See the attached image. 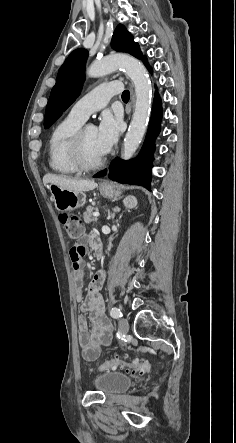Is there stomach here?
<instances>
[{
    "label": "stomach",
    "instance_id": "1",
    "mask_svg": "<svg viewBox=\"0 0 236 443\" xmlns=\"http://www.w3.org/2000/svg\"><path fill=\"white\" fill-rule=\"evenodd\" d=\"M48 189L58 211L65 212L75 210L82 207L86 202L84 192L67 190L55 184H50ZM100 193L106 198H113L119 196L120 190L118 187L110 186L108 188H100Z\"/></svg>",
    "mask_w": 236,
    "mask_h": 443
}]
</instances>
